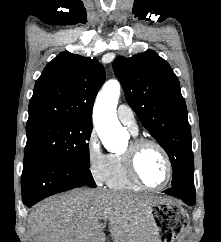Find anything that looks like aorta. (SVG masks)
Returning <instances> with one entry per match:
<instances>
[{
  "label": "aorta",
  "mask_w": 221,
  "mask_h": 242,
  "mask_svg": "<svg viewBox=\"0 0 221 242\" xmlns=\"http://www.w3.org/2000/svg\"><path fill=\"white\" fill-rule=\"evenodd\" d=\"M120 96V83L107 81L99 92L94 106V126L105 147L118 150L127 139V132L121 126L116 115Z\"/></svg>",
  "instance_id": "1"
}]
</instances>
